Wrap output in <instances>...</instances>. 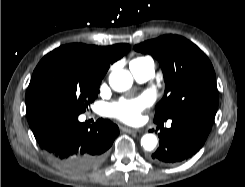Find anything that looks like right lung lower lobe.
<instances>
[{"label":"right lung lower lobe","mask_w":245,"mask_h":187,"mask_svg":"<svg viewBox=\"0 0 245 187\" xmlns=\"http://www.w3.org/2000/svg\"><path fill=\"white\" fill-rule=\"evenodd\" d=\"M77 113L57 110L29 120L30 128L47 156L71 172H85L99 166L119 134L109 120L95 124L79 122Z\"/></svg>","instance_id":"1"}]
</instances>
